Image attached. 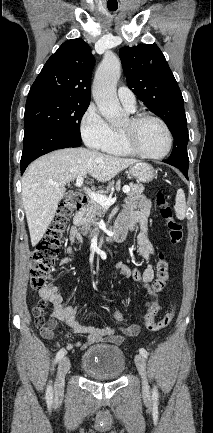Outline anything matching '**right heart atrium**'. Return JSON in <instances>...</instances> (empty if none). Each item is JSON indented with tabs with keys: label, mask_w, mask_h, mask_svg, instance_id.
Masks as SVG:
<instances>
[{
	"label": "right heart atrium",
	"mask_w": 213,
	"mask_h": 433,
	"mask_svg": "<svg viewBox=\"0 0 213 433\" xmlns=\"http://www.w3.org/2000/svg\"><path fill=\"white\" fill-rule=\"evenodd\" d=\"M80 133L87 146L102 150L111 138L112 129L99 110L90 105L81 118Z\"/></svg>",
	"instance_id": "d8ad5b80"
}]
</instances>
